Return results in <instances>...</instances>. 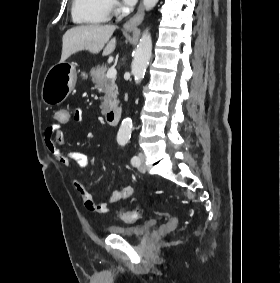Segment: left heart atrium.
Segmentation results:
<instances>
[{"label": "left heart atrium", "mask_w": 280, "mask_h": 283, "mask_svg": "<svg viewBox=\"0 0 280 283\" xmlns=\"http://www.w3.org/2000/svg\"><path fill=\"white\" fill-rule=\"evenodd\" d=\"M123 1L125 4L130 6L134 5L137 2V0H123Z\"/></svg>", "instance_id": "obj_1"}]
</instances>
